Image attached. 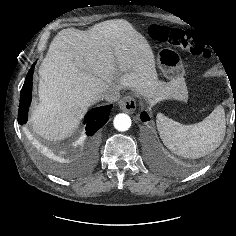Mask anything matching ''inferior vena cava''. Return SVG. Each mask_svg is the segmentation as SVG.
<instances>
[{"instance_id":"inferior-vena-cava-1","label":"inferior vena cava","mask_w":236,"mask_h":236,"mask_svg":"<svg viewBox=\"0 0 236 236\" xmlns=\"http://www.w3.org/2000/svg\"><path fill=\"white\" fill-rule=\"evenodd\" d=\"M101 97L108 102H115L119 100L120 94L117 90H108Z\"/></svg>"}]
</instances>
